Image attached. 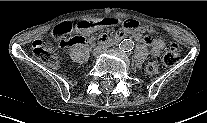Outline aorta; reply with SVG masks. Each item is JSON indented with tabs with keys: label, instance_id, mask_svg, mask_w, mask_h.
<instances>
[{
	"label": "aorta",
	"instance_id": "obj_1",
	"mask_svg": "<svg viewBox=\"0 0 207 123\" xmlns=\"http://www.w3.org/2000/svg\"><path fill=\"white\" fill-rule=\"evenodd\" d=\"M134 42L131 39H124L120 42L119 48L122 51H130L133 49Z\"/></svg>",
	"mask_w": 207,
	"mask_h": 123
}]
</instances>
